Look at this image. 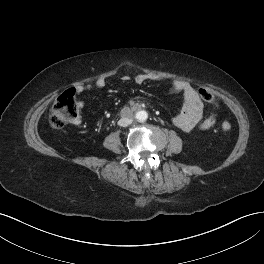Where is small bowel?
I'll use <instances>...</instances> for the list:
<instances>
[{"label": "small bowel", "mask_w": 264, "mask_h": 264, "mask_svg": "<svg viewBox=\"0 0 264 264\" xmlns=\"http://www.w3.org/2000/svg\"><path fill=\"white\" fill-rule=\"evenodd\" d=\"M128 76H123L122 81H128ZM159 80L158 77L151 76L149 74H138L135 77V82L139 85L147 81ZM106 86L104 79H98L94 85L78 86L76 91L81 93L85 90L91 89L92 87L102 89ZM171 91L173 93L183 94L184 102L182 109L178 115L173 118V124L184 132L191 131L197 123L201 120L203 114V102L197 90L187 81L175 80L172 82ZM76 124L80 123V120L75 121Z\"/></svg>", "instance_id": "small-bowel-1"}]
</instances>
